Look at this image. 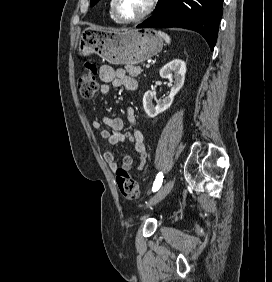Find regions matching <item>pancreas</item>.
<instances>
[{"label": "pancreas", "instance_id": "obj_1", "mask_svg": "<svg viewBox=\"0 0 272 282\" xmlns=\"http://www.w3.org/2000/svg\"><path fill=\"white\" fill-rule=\"evenodd\" d=\"M125 69L132 77H138L142 73V69L140 66L127 65Z\"/></svg>", "mask_w": 272, "mask_h": 282}]
</instances>
